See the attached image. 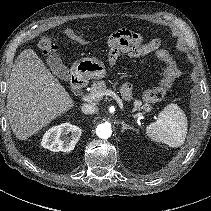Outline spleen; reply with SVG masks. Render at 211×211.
Here are the masks:
<instances>
[{"label": "spleen", "instance_id": "1", "mask_svg": "<svg viewBox=\"0 0 211 211\" xmlns=\"http://www.w3.org/2000/svg\"><path fill=\"white\" fill-rule=\"evenodd\" d=\"M187 125L184 112L177 104L171 103L159 113L156 122L146 127V135L154 142L179 147L185 142Z\"/></svg>", "mask_w": 211, "mask_h": 211}]
</instances>
